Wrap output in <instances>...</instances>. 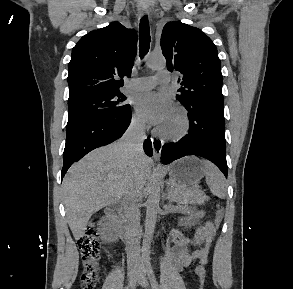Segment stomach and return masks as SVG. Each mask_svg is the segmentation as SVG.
<instances>
[{"label":"stomach","mask_w":293,"mask_h":289,"mask_svg":"<svg viewBox=\"0 0 293 289\" xmlns=\"http://www.w3.org/2000/svg\"><path fill=\"white\" fill-rule=\"evenodd\" d=\"M205 175L202 161L197 157H186L169 167V176L180 185H193Z\"/></svg>","instance_id":"0dacf381"}]
</instances>
